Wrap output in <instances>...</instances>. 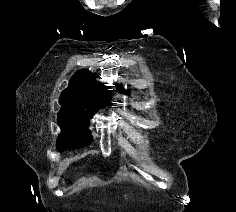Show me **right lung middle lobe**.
Here are the masks:
<instances>
[{"label":"right lung middle lobe","instance_id":"dd1d6c3e","mask_svg":"<svg viewBox=\"0 0 236 212\" xmlns=\"http://www.w3.org/2000/svg\"><path fill=\"white\" fill-rule=\"evenodd\" d=\"M107 103L109 102H104L102 105ZM96 110L62 108L59 111L57 124L61 128V133L56 146L60 153L65 149L81 148L92 142V136L88 131V120Z\"/></svg>","mask_w":236,"mask_h":212}]
</instances>
